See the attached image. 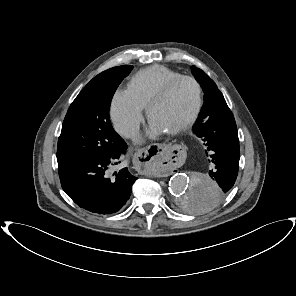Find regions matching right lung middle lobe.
Here are the masks:
<instances>
[{
  "instance_id": "obj_1",
  "label": "right lung middle lobe",
  "mask_w": 296,
  "mask_h": 296,
  "mask_svg": "<svg viewBox=\"0 0 296 296\" xmlns=\"http://www.w3.org/2000/svg\"><path fill=\"white\" fill-rule=\"evenodd\" d=\"M132 68L122 65L100 73L72 102L58 139L59 168L117 153L124 146L111 125L109 107L118 85Z\"/></svg>"
}]
</instances>
